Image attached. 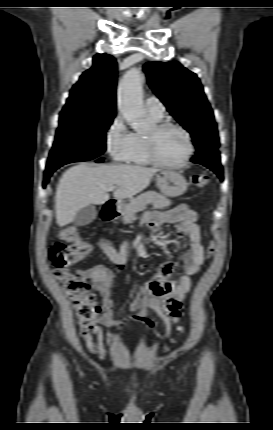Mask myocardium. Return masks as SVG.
<instances>
[{"instance_id": "myocardium-1", "label": "myocardium", "mask_w": 273, "mask_h": 430, "mask_svg": "<svg viewBox=\"0 0 273 430\" xmlns=\"http://www.w3.org/2000/svg\"><path fill=\"white\" fill-rule=\"evenodd\" d=\"M168 128H174L182 132L187 142V151L184 157L180 161L174 162V163L165 162L161 160L158 156L157 149H156V136L160 132ZM146 144H147L148 156L151 163L163 168H181L188 163V161L190 160V158L194 153V145L189 131L182 125L175 122H170V121H159L154 123L152 126V131L150 133H147L146 135Z\"/></svg>"}]
</instances>
